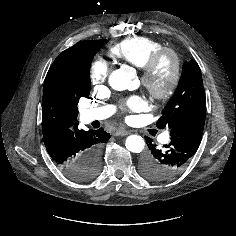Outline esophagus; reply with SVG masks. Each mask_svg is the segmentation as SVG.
<instances>
[{
    "instance_id": "obj_1",
    "label": "esophagus",
    "mask_w": 236,
    "mask_h": 236,
    "mask_svg": "<svg viewBox=\"0 0 236 236\" xmlns=\"http://www.w3.org/2000/svg\"><path fill=\"white\" fill-rule=\"evenodd\" d=\"M130 134L129 131L125 130V129H118L116 132H115V135L116 136H126Z\"/></svg>"
}]
</instances>
